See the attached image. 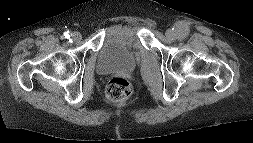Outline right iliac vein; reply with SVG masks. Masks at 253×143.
Masks as SVG:
<instances>
[{
  "label": "right iliac vein",
  "instance_id": "63e3f726",
  "mask_svg": "<svg viewBox=\"0 0 253 143\" xmlns=\"http://www.w3.org/2000/svg\"><path fill=\"white\" fill-rule=\"evenodd\" d=\"M72 39L75 42H79L82 39V35L79 32L72 33Z\"/></svg>",
  "mask_w": 253,
  "mask_h": 143
}]
</instances>
